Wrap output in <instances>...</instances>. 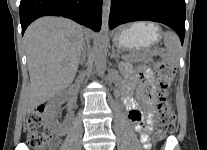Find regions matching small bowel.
I'll return each instance as SVG.
<instances>
[{
  "instance_id": "1",
  "label": "small bowel",
  "mask_w": 207,
  "mask_h": 150,
  "mask_svg": "<svg viewBox=\"0 0 207 150\" xmlns=\"http://www.w3.org/2000/svg\"><path fill=\"white\" fill-rule=\"evenodd\" d=\"M127 74L128 82L120 88V94L128 109L129 120L133 124L134 129L140 134V140L145 148H149L150 132L153 123L152 109L154 105L153 73L148 67L140 66L136 73L128 70ZM134 92H136L139 100L147 108V111H142L137 102L131 98Z\"/></svg>"
}]
</instances>
